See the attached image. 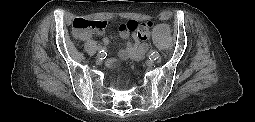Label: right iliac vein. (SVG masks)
Listing matches in <instances>:
<instances>
[{"instance_id":"right-iliac-vein-1","label":"right iliac vein","mask_w":255,"mask_h":122,"mask_svg":"<svg viewBox=\"0 0 255 122\" xmlns=\"http://www.w3.org/2000/svg\"><path fill=\"white\" fill-rule=\"evenodd\" d=\"M102 60H103V54L98 53L97 56H96V62L97 63H101Z\"/></svg>"}]
</instances>
